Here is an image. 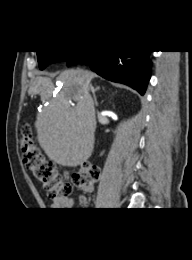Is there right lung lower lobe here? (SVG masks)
Instances as JSON below:
<instances>
[{"label":"right lung lower lobe","instance_id":"right-lung-lower-lobe-1","mask_svg":"<svg viewBox=\"0 0 192 260\" xmlns=\"http://www.w3.org/2000/svg\"><path fill=\"white\" fill-rule=\"evenodd\" d=\"M151 51H76L66 61L67 66L82 63L100 76L124 83L145 93L150 79Z\"/></svg>","mask_w":192,"mask_h":260}]
</instances>
